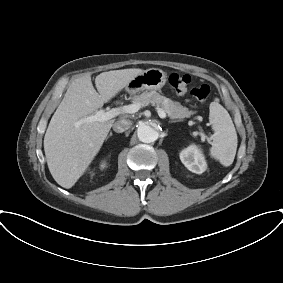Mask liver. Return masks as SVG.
I'll list each match as a JSON object with an SVG mask.
<instances>
[{"label": "liver", "instance_id": "1", "mask_svg": "<svg viewBox=\"0 0 283 283\" xmlns=\"http://www.w3.org/2000/svg\"><path fill=\"white\" fill-rule=\"evenodd\" d=\"M144 70L130 68L96 76L94 89L90 74L75 79L51 118L44 137L49 171L63 188H71L98 154L114 119L86 122L104 103L116 96Z\"/></svg>", "mask_w": 283, "mask_h": 283}]
</instances>
